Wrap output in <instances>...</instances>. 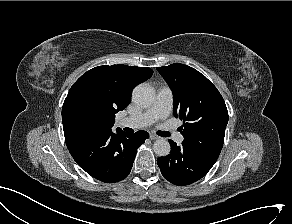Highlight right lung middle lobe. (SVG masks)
<instances>
[{"instance_id":"dd1d6c3e","label":"right lung middle lobe","mask_w":292,"mask_h":224,"mask_svg":"<svg viewBox=\"0 0 292 224\" xmlns=\"http://www.w3.org/2000/svg\"><path fill=\"white\" fill-rule=\"evenodd\" d=\"M63 126L71 131L95 133L110 126L105 108L90 94L76 93L64 102Z\"/></svg>"}]
</instances>
